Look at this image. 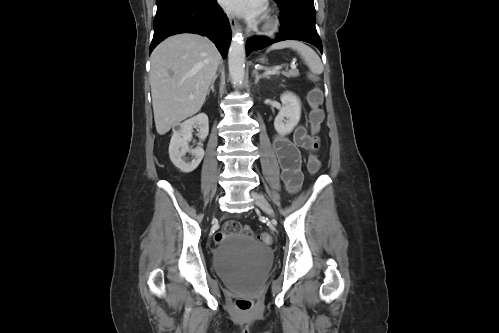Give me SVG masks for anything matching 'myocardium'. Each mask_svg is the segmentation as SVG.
<instances>
[{"label":"myocardium","instance_id":"myocardium-1","mask_svg":"<svg viewBox=\"0 0 499 333\" xmlns=\"http://www.w3.org/2000/svg\"><path fill=\"white\" fill-rule=\"evenodd\" d=\"M278 28V21L274 15L268 14L264 18V23L262 25V32L265 35H272L276 32Z\"/></svg>","mask_w":499,"mask_h":333}]
</instances>
